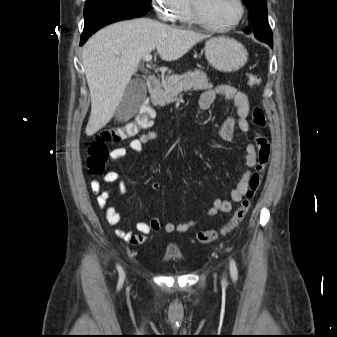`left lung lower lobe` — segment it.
Here are the masks:
<instances>
[{"label": "left lung lower lobe", "instance_id": "0a47b994", "mask_svg": "<svg viewBox=\"0 0 337 337\" xmlns=\"http://www.w3.org/2000/svg\"><path fill=\"white\" fill-rule=\"evenodd\" d=\"M260 41H262V40H260ZM263 42L267 43V44L272 48V46H273V41H263Z\"/></svg>", "mask_w": 337, "mask_h": 337}]
</instances>
